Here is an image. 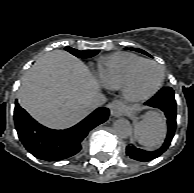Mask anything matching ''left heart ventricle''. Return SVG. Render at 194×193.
<instances>
[{"instance_id":"1","label":"left heart ventricle","mask_w":194,"mask_h":193,"mask_svg":"<svg viewBox=\"0 0 194 193\" xmlns=\"http://www.w3.org/2000/svg\"><path fill=\"white\" fill-rule=\"evenodd\" d=\"M159 79L160 69L151 64H145L136 74L132 92L136 94L148 93L155 88Z\"/></svg>"}]
</instances>
